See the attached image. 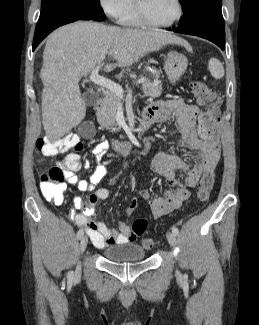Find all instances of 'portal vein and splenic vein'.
I'll return each instance as SVG.
<instances>
[{"label":"portal vein and splenic vein","mask_w":259,"mask_h":325,"mask_svg":"<svg viewBox=\"0 0 259 325\" xmlns=\"http://www.w3.org/2000/svg\"><path fill=\"white\" fill-rule=\"evenodd\" d=\"M102 67V65L96 66L89 76L90 81L93 83L100 85L102 87H105L115 93L119 98L123 97V88L118 83H115L114 81H111L109 79H106L98 74L99 69ZM146 80L145 77H141L137 83H144Z\"/></svg>","instance_id":"obj_1"}]
</instances>
